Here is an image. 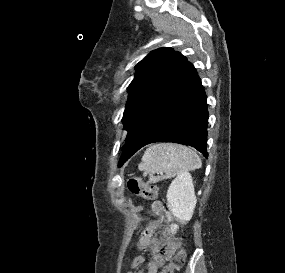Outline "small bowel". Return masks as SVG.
<instances>
[{"mask_svg": "<svg viewBox=\"0 0 285 273\" xmlns=\"http://www.w3.org/2000/svg\"><path fill=\"white\" fill-rule=\"evenodd\" d=\"M150 211L153 215L158 216V219L152 220L142 231L137 240L136 246L139 250L150 249L152 253L151 260L147 263L146 273H157L166 261L172 256L178 247V241L171 237L168 231H165L164 242L161 243L155 238V231L165 227L169 221L166 209L160 201H154L150 204ZM144 262L142 257H137L133 260L132 266L137 267ZM128 273H133L132 271ZM137 273H143L138 271Z\"/></svg>", "mask_w": 285, "mask_h": 273, "instance_id": "small-bowel-1", "label": "small bowel"}]
</instances>
